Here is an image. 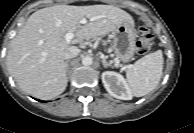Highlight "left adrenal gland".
<instances>
[{"mask_svg": "<svg viewBox=\"0 0 194 133\" xmlns=\"http://www.w3.org/2000/svg\"><path fill=\"white\" fill-rule=\"evenodd\" d=\"M102 64H103L104 68H107V67L113 68V66L110 63H108L105 58L102 59Z\"/></svg>", "mask_w": 194, "mask_h": 133, "instance_id": "1", "label": "left adrenal gland"}]
</instances>
